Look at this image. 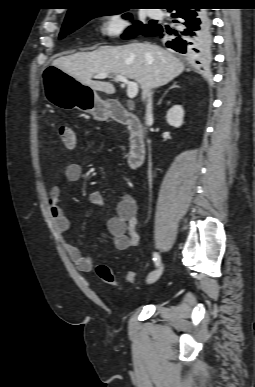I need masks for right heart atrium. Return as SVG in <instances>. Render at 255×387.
<instances>
[{
	"label": "right heart atrium",
	"mask_w": 255,
	"mask_h": 387,
	"mask_svg": "<svg viewBox=\"0 0 255 387\" xmlns=\"http://www.w3.org/2000/svg\"><path fill=\"white\" fill-rule=\"evenodd\" d=\"M130 25L131 21L125 12H115L104 19L101 34L108 38L120 37L128 31Z\"/></svg>",
	"instance_id": "right-heart-atrium-1"
}]
</instances>
